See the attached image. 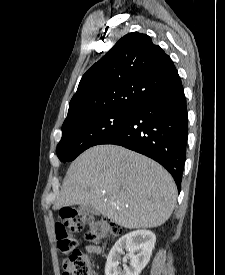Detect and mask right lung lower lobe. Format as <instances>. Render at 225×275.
I'll list each match as a JSON object with an SVG mask.
<instances>
[{
  "label": "right lung lower lobe",
  "instance_id": "obj_1",
  "mask_svg": "<svg viewBox=\"0 0 225 275\" xmlns=\"http://www.w3.org/2000/svg\"><path fill=\"white\" fill-rule=\"evenodd\" d=\"M187 132V106L181 83L139 102L129 119L99 144L120 145L154 159L171 173L180 191Z\"/></svg>",
  "mask_w": 225,
  "mask_h": 275
}]
</instances>
